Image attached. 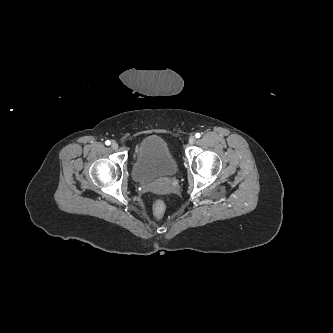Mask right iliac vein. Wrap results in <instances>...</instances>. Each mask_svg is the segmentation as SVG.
Segmentation results:
<instances>
[{
  "label": "right iliac vein",
  "mask_w": 333,
  "mask_h": 333,
  "mask_svg": "<svg viewBox=\"0 0 333 333\" xmlns=\"http://www.w3.org/2000/svg\"><path fill=\"white\" fill-rule=\"evenodd\" d=\"M111 147H112V149H117V148H118V144H117V142L113 141V142L111 143Z\"/></svg>",
  "instance_id": "obj_1"
}]
</instances>
